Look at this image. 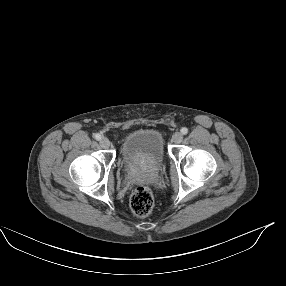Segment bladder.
Listing matches in <instances>:
<instances>
[{"mask_svg": "<svg viewBox=\"0 0 286 286\" xmlns=\"http://www.w3.org/2000/svg\"><path fill=\"white\" fill-rule=\"evenodd\" d=\"M165 158L164 137L156 129L131 132L120 148V160L128 167L157 169L164 163Z\"/></svg>", "mask_w": 286, "mask_h": 286, "instance_id": "1", "label": "bladder"}]
</instances>
